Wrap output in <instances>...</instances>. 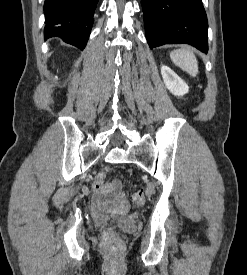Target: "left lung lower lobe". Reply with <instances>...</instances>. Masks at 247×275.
Here are the masks:
<instances>
[{
	"mask_svg": "<svg viewBox=\"0 0 247 275\" xmlns=\"http://www.w3.org/2000/svg\"><path fill=\"white\" fill-rule=\"evenodd\" d=\"M142 9L150 49L186 43L208 52V22L201 0H142Z\"/></svg>",
	"mask_w": 247,
	"mask_h": 275,
	"instance_id": "1",
	"label": "left lung lower lobe"
}]
</instances>
